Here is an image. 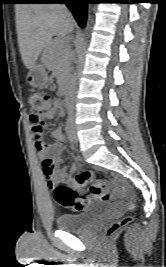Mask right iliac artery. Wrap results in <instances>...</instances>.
I'll use <instances>...</instances> for the list:
<instances>
[{
	"mask_svg": "<svg viewBox=\"0 0 166 267\" xmlns=\"http://www.w3.org/2000/svg\"><path fill=\"white\" fill-rule=\"evenodd\" d=\"M65 129H66V133H67L68 139L72 142L73 139H74V136H73L72 124H71V120L70 119H67L66 128Z\"/></svg>",
	"mask_w": 166,
	"mask_h": 267,
	"instance_id": "right-iliac-artery-1",
	"label": "right iliac artery"
}]
</instances>
